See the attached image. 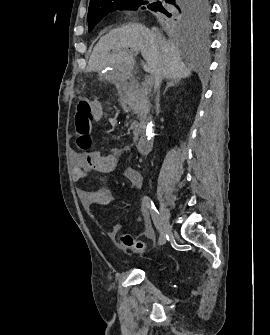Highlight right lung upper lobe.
<instances>
[{"instance_id":"obj_1","label":"right lung upper lobe","mask_w":270,"mask_h":335,"mask_svg":"<svg viewBox=\"0 0 270 335\" xmlns=\"http://www.w3.org/2000/svg\"><path fill=\"white\" fill-rule=\"evenodd\" d=\"M118 0H90L89 7H98L104 4L112 3Z\"/></svg>"}]
</instances>
